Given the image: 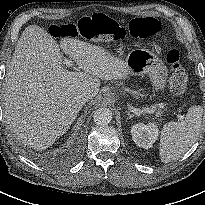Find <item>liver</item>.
Returning a JSON list of instances; mask_svg holds the SVG:
<instances>
[{
  "mask_svg": "<svg viewBox=\"0 0 205 205\" xmlns=\"http://www.w3.org/2000/svg\"><path fill=\"white\" fill-rule=\"evenodd\" d=\"M60 48L82 72L66 69ZM128 75L125 62L102 47L69 37L63 38L59 46L43 28L30 25L18 40L6 73V122L18 140L44 150L76 119L82 108L75 101L78 93L94 98L100 80Z\"/></svg>",
  "mask_w": 205,
  "mask_h": 205,
  "instance_id": "6515ba94",
  "label": "liver"
}]
</instances>
